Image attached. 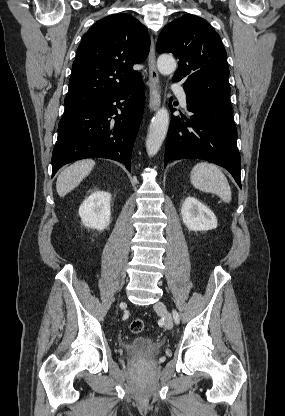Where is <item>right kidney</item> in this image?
<instances>
[{
	"instance_id": "1",
	"label": "right kidney",
	"mask_w": 285,
	"mask_h": 416,
	"mask_svg": "<svg viewBox=\"0 0 285 416\" xmlns=\"http://www.w3.org/2000/svg\"><path fill=\"white\" fill-rule=\"evenodd\" d=\"M111 194L109 192H93L82 202L78 212L83 226L94 230H105L110 224Z\"/></svg>"
}]
</instances>
